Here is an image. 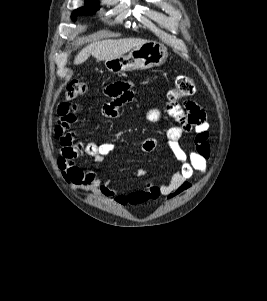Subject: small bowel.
I'll list each match as a JSON object with an SVG mask.
<instances>
[{
    "label": "small bowel",
    "instance_id": "c3829d8e",
    "mask_svg": "<svg viewBox=\"0 0 267 301\" xmlns=\"http://www.w3.org/2000/svg\"><path fill=\"white\" fill-rule=\"evenodd\" d=\"M104 95L109 99L102 106V115L105 118H115L120 108L130 103L135 95L133 83L118 81L106 86ZM78 105L75 103L61 102L57 107L59 121L54 133L61 144V153L58 165L63 172L66 181L74 189L90 191L94 194L112 197L121 205H139L157 199L160 196L168 200L186 192L192 186L191 179L196 172L203 174L207 169V161L210 156L209 124L204 110L194 102H186L184 106L176 102L167 103V114L177 124L171 126L166 133L168 146L180 163L167 183L155 185L146 183L143 188H128L112 186L103 181L95 170H84L77 159L81 157L92 161L94 167H99L103 160L114 150L113 142H88L76 141L72 125L76 121ZM148 120L156 122L161 118L157 109H150L146 113ZM194 133L195 147L186 151L180 145V139L186 133ZM158 140L154 137L146 138L141 145L145 153L156 149ZM144 172H139L137 177H142Z\"/></svg>",
    "mask_w": 267,
    "mask_h": 301
}]
</instances>
